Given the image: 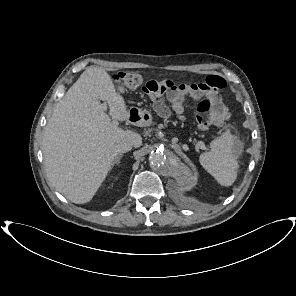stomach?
I'll list each match as a JSON object with an SVG mask.
<instances>
[{
    "mask_svg": "<svg viewBox=\"0 0 296 296\" xmlns=\"http://www.w3.org/2000/svg\"><path fill=\"white\" fill-rule=\"evenodd\" d=\"M137 123L141 125H149L152 122V116L148 111L137 110Z\"/></svg>",
    "mask_w": 296,
    "mask_h": 296,
    "instance_id": "0dacf381",
    "label": "stomach"
}]
</instances>
